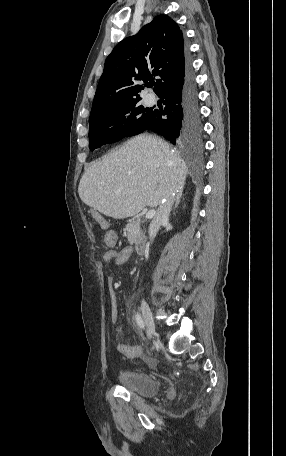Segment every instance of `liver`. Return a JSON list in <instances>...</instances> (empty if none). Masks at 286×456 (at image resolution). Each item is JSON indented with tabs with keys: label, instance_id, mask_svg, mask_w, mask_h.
<instances>
[{
	"label": "liver",
	"instance_id": "1",
	"mask_svg": "<svg viewBox=\"0 0 286 456\" xmlns=\"http://www.w3.org/2000/svg\"><path fill=\"white\" fill-rule=\"evenodd\" d=\"M187 169L179 154L161 138L143 134L93 162L82 176L81 200L100 213L121 219L145 206L156 207L185 183Z\"/></svg>",
	"mask_w": 286,
	"mask_h": 456
}]
</instances>
